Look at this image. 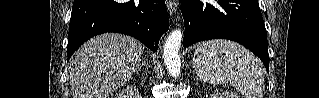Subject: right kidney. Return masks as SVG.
<instances>
[{"label": "right kidney", "instance_id": "obj_1", "mask_svg": "<svg viewBox=\"0 0 319 98\" xmlns=\"http://www.w3.org/2000/svg\"><path fill=\"white\" fill-rule=\"evenodd\" d=\"M125 94H118V96H116V98H125Z\"/></svg>", "mask_w": 319, "mask_h": 98}]
</instances>
